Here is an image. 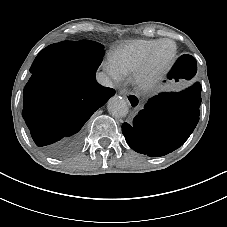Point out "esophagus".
<instances>
[{
  "instance_id": "34e87169",
  "label": "esophagus",
  "mask_w": 227,
  "mask_h": 227,
  "mask_svg": "<svg viewBox=\"0 0 227 227\" xmlns=\"http://www.w3.org/2000/svg\"><path fill=\"white\" fill-rule=\"evenodd\" d=\"M119 94L127 100L131 108L138 109L140 107V99L135 94L127 92L124 88H119Z\"/></svg>"
}]
</instances>
